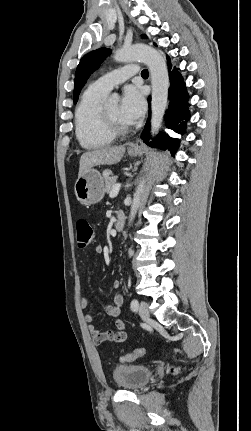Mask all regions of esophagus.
<instances>
[{
  "instance_id": "34e87169",
  "label": "esophagus",
  "mask_w": 251,
  "mask_h": 431,
  "mask_svg": "<svg viewBox=\"0 0 251 431\" xmlns=\"http://www.w3.org/2000/svg\"><path fill=\"white\" fill-rule=\"evenodd\" d=\"M137 147L135 145L131 146V149H136Z\"/></svg>"
}]
</instances>
